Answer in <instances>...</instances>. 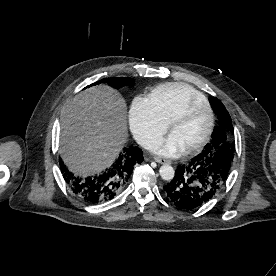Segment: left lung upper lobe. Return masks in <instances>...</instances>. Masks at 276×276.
<instances>
[{
  "label": "left lung upper lobe",
  "instance_id": "left-lung-upper-lobe-1",
  "mask_svg": "<svg viewBox=\"0 0 276 276\" xmlns=\"http://www.w3.org/2000/svg\"><path fill=\"white\" fill-rule=\"evenodd\" d=\"M210 101L220 120V126L214 128L212 141L207 144L201 154L210 159L215 166L217 174H220V178H222L220 182L221 188L227 180L235 150V143H230L226 136L227 134H233V126L230 115L221 101L216 97L210 98Z\"/></svg>",
  "mask_w": 276,
  "mask_h": 276
}]
</instances>
